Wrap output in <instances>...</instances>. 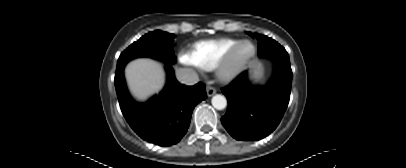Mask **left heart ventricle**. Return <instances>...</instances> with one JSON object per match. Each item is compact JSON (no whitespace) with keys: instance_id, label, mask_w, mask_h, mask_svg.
Segmentation results:
<instances>
[{"instance_id":"b2bd125f","label":"left heart ventricle","mask_w":406,"mask_h":168,"mask_svg":"<svg viewBox=\"0 0 406 168\" xmlns=\"http://www.w3.org/2000/svg\"><path fill=\"white\" fill-rule=\"evenodd\" d=\"M251 51H252L251 45H249V44L244 45L239 51L238 58L242 59V58L246 57L247 55H249L251 53Z\"/></svg>"}]
</instances>
